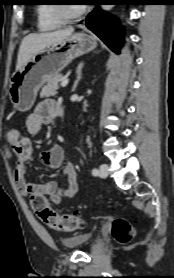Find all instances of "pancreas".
<instances>
[{"instance_id":"pancreas-1","label":"pancreas","mask_w":174,"mask_h":278,"mask_svg":"<svg viewBox=\"0 0 174 278\" xmlns=\"http://www.w3.org/2000/svg\"><path fill=\"white\" fill-rule=\"evenodd\" d=\"M62 77L63 76L61 74H57L52 78H50L47 81L46 85L42 88L40 97L44 98V97L55 96L57 94V90L59 89L58 83L60 82Z\"/></svg>"}]
</instances>
